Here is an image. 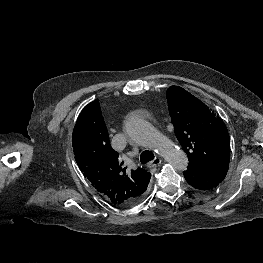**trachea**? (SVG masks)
<instances>
[{"label":"trachea","instance_id":"1","mask_svg":"<svg viewBox=\"0 0 263 263\" xmlns=\"http://www.w3.org/2000/svg\"><path fill=\"white\" fill-rule=\"evenodd\" d=\"M154 159V154L150 151H143L140 155V161L142 164H146Z\"/></svg>","mask_w":263,"mask_h":263}]
</instances>
